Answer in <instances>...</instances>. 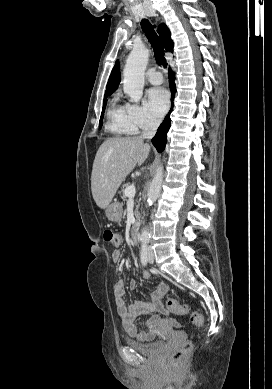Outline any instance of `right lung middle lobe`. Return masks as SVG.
<instances>
[{
  "instance_id": "right-lung-middle-lobe-1",
  "label": "right lung middle lobe",
  "mask_w": 272,
  "mask_h": 389,
  "mask_svg": "<svg viewBox=\"0 0 272 389\" xmlns=\"http://www.w3.org/2000/svg\"><path fill=\"white\" fill-rule=\"evenodd\" d=\"M107 96L108 95L104 96V103H103L102 114H101V118H100V122H99V128H101V126H102V121H103L104 110H105V107H106Z\"/></svg>"
}]
</instances>
